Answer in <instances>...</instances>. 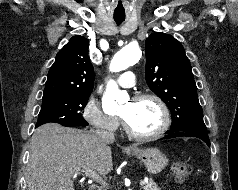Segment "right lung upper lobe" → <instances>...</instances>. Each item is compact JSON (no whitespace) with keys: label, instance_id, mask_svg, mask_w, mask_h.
I'll return each mask as SVG.
<instances>
[{"label":"right lung upper lobe","instance_id":"1","mask_svg":"<svg viewBox=\"0 0 238 190\" xmlns=\"http://www.w3.org/2000/svg\"><path fill=\"white\" fill-rule=\"evenodd\" d=\"M89 40L73 36L57 53L45 83L44 97L90 95L94 87V69L88 58Z\"/></svg>","mask_w":238,"mask_h":190}]
</instances>
